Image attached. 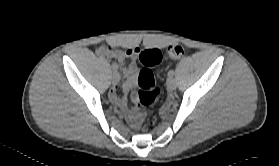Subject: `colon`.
<instances>
[{"label": "colon", "mask_w": 279, "mask_h": 166, "mask_svg": "<svg viewBox=\"0 0 279 166\" xmlns=\"http://www.w3.org/2000/svg\"><path fill=\"white\" fill-rule=\"evenodd\" d=\"M165 56L170 59H181L185 56V48L179 44L169 46L165 51ZM163 60L162 53L157 49L142 51L138 56V63L141 69L138 79V93L136 100L141 110L146 111L152 108L162 97V90L155 86V79L150 67L159 65ZM143 115L138 111V119ZM146 115V112H144ZM150 119L145 117L142 121L143 128L150 126Z\"/></svg>", "instance_id": "obj_1"}]
</instances>
